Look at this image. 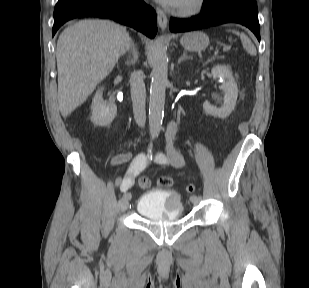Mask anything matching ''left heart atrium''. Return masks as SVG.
<instances>
[{
	"label": "left heart atrium",
	"mask_w": 309,
	"mask_h": 288,
	"mask_svg": "<svg viewBox=\"0 0 309 288\" xmlns=\"http://www.w3.org/2000/svg\"><path fill=\"white\" fill-rule=\"evenodd\" d=\"M166 6L177 7L181 0H158Z\"/></svg>",
	"instance_id": "obj_1"
}]
</instances>
